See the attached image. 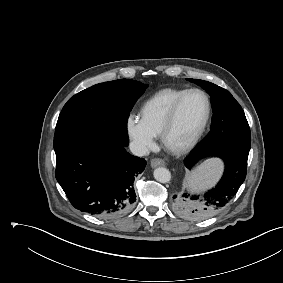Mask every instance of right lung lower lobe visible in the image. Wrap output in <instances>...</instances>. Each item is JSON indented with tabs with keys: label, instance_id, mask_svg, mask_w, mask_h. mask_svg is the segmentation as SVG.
<instances>
[{
	"label": "right lung lower lobe",
	"instance_id": "98d812e1",
	"mask_svg": "<svg viewBox=\"0 0 283 283\" xmlns=\"http://www.w3.org/2000/svg\"><path fill=\"white\" fill-rule=\"evenodd\" d=\"M146 166L105 137L82 139L56 153V179L71 204L99 217L118 216L136 201L135 177Z\"/></svg>",
	"mask_w": 283,
	"mask_h": 283
}]
</instances>
